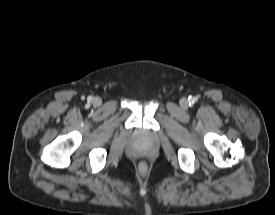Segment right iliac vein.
<instances>
[{"mask_svg":"<svg viewBox=\"0 0 275 215\" xmlns=\"http://www.w3.org/2000/svg\"><path fill=\"white\" fill-rule=\"evenodd\" d=\"M102 104V100L99 97H95L93 99V105L94 106H100Z\"/></svg>","mask_w":275,"mask_h":215,"instance_id":"right-iliac-vein-1","label":"right iliac vein"}]
</instances>
